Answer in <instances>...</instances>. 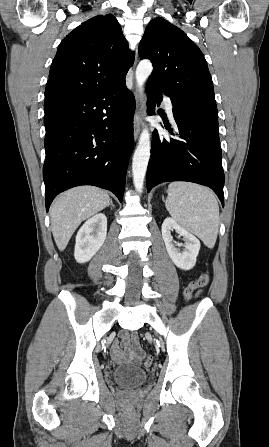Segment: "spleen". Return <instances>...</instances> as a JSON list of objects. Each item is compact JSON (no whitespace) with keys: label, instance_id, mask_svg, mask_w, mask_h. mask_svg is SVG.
Here are the masks:
<instances>
[{"label":"spleen","instance_id":"3e777b00","mask_svg":"<svg viewBox=\"0 0 269 447\" xmlns=\"http://www.w3.org/2000/svg\"><path fill=\"white\" fill-rule=\"evenodd\" d=\"M168 192L165 206L173 220L212 249L219 229V206L213 192L190 182H172Z\"/></svg>","mask_w":269,"mask_h":447}]
</instances>
